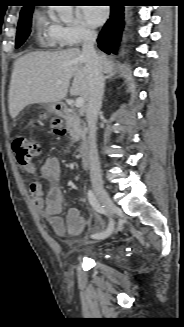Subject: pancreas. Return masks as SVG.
Here are the masks:
<instances>
[{"label":"pancreas","mask_w":184,"mask_h":327,"mask_svg":"<svg viewBox=\"0 0 184 327\" xmlns=\"http://www.w3.org/2000/svg\"><path fill=\"white\" fill-rule=\"evenodd\" d=\"M66 127L73 141H79L80 139L84 138L85 132L81 126L80 117L74 109L69 111V114L66 118Z\"/></svg>","instance_id":"1"}]
</instances>
